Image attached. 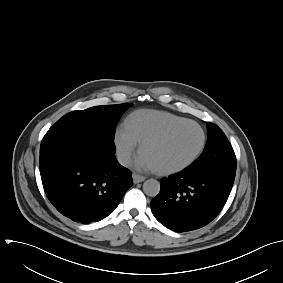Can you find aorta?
<instances>
[{
  "label": "aorta",
  "instance_id": "1",
  "mask_svg": "<svg viewBox=\"0 0 283 283\" xmlns=\"http://www.w3.org/2000/svg\"><path fill=\"white\" fill-rule=\"evenodd\" d=\"M143 191L146 195L155 197L160 192V182L155 179H148L143 184Z\"/></svg>",
  "mask_w": 283,
  "mask_h": 283
}]
</instances>
